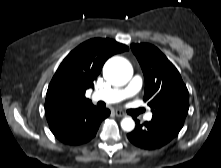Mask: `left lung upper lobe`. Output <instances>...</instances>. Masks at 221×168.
<instances>
[{
  "label": "left lung upper lobe",
  "instance_id": "left-lung-upper-lobe-1",
  "mask_svg": "<svg viewBox=\"0 0 221 168\" xmlns=\"http://www.w3.org/2000/svg\"><path fill=\"white\" fill-rule=\"evenodd\" d=\"M145 77L144 101L152 109V120L178 130L184 125L189 109V93L178 70L155 46L132 44Z\"/></svg>",
  "mask_w": 221,
  "mask_h": 168
}]
</instances>
